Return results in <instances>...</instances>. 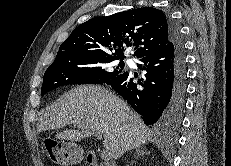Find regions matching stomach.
<instances>
[{
    "instance_id": "stomach-1",
    "label": "stomach",
    "mask_w": 231,
    "mask_h": 166,
    "mask_svg": "<svg viewBox=\"0 0 231 166\" xmlns=\"http://www.w3.org/2000/svg\"><path fill=\"white\" fill-rule=\"evenodd\" d=\"M50 145H45L50 159L61 166H69L81 162L84 158L83 149L74 142L52 139Z\"/></svg>"
}]
</instances>
